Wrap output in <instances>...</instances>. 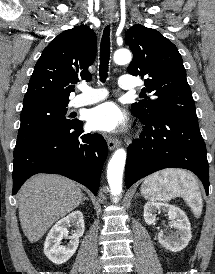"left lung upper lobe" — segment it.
I'll return each mask as SVG.
<instances>
[{
    "label": "left lung upper lobe",
    "mask_w": 215,
    "mask_h": 274,
    "mask_svg": "<svg viewBox=\"0 0 215 274\" xmlns=\"http://www.w3.org/2000/svg\"><path fill=\"white\" fill-rule=\"evenodd\" d=\"M125 42L133 52L129 74L146 76L143 91L155 96L132 104L133 114L145 118L169 114L197 120L186 70L176 46L157 30L142 25L127 30Z\"/></svg>",
    "instance_id": "5c2ea615"
}]
</instances>
